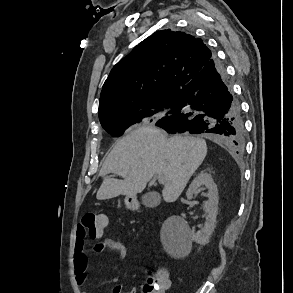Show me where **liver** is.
I'll return each mask as SVG.
<instances>
[{"instance_id":"6515ba94","label":"liver","mask_w":293,"mask_h":293,"mask_svg":"<svg viewBox=\"0 0 293 293\" xmlns=\"http://www.w3.org/2000/svg\"><path fill=\"white\" fill-rule=\"evenodd\" d=\"M207 145L201 138L174 136L152 126H140L120 139L101 168L98 200L142 192L154 175L164 177L163 199L175 202L202 164ZM115 174L118 180L109 176Z\"/></svg>"}]
</instances>
